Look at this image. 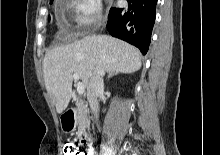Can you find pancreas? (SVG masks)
I'll return each instance as SVG.
<instances>
[{
	"label": "pancreas",
	"instance_id": "obj_1",
	"mask_svg": "<svg viewBox=\"0 0 220 155\" xmlns=\"http://www.w3.org/2000/svg\"><path fill=\"white\" fill-rule=\"evenodd\" d=\"M77 124H78L79 131H82L83 129L89 126V119L82 105L78 107Z\"/></svg>",
	"mask_w": 220,
	"mask_h": 155
}]
</instances>
